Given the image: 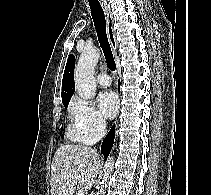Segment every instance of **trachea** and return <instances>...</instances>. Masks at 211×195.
<instances>
[{
  "instance_id": "trachea-1",
  "label": "trachea",
  "mask_w": 211,
  "mask_h": 195,
  "mask_svg": "<svg viewBox=\"0 0 211 195\" xmlns=\"http://www.w3.org/2000/svg\"><path fill=\"white\" fill-rule=\"evenodd\" d=\"M89 5L91 9V15L93 18L95 30L98 36V41L103 50L107 66L109 67L110 70L114 71L116 66L110 48V44L107 38L106 20L103 9L98 1L89 0Z\"/></svg>"
}]
</instances>
